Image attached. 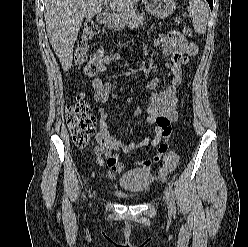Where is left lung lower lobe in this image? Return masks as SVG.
I'll return each instance as SVG.
<instances>
[{
    "label": "left lung lower lobe",
    "instance_id": "obj_1",
    "mask_svg": "<svg viewBox=\"0 0 248 247\" xmlns=\"http://www.w3.org/2000/svg\"><path fill=\"white\" fill-rule=\"evenodd\" d=\"M207 2L209 3L210 8H213V0H207Z\"/></svg>",
    "mask_w": 248,
    "mask_h": 247
}]
</instances>
